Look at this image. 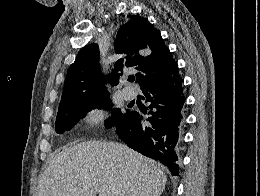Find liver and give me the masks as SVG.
Listing matches in <instances>:
<instances>
[{
    "instance_id": "1",
    "label": "liver",
    "mask_w": 260,
    "mask_h": 196,
    "mask_svg": "<svg viewBox=\"0 0 260 196\" xmlns=\"http://www.w3.org/2000/svg\"><path fill=\"white\" fill-rule=\"evenodd\" d=\"M157 162L118 142L64 146L44 170L36 196H161Z\"/></svg>"
}]
</instances>
